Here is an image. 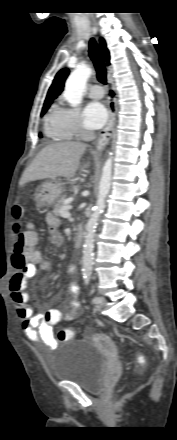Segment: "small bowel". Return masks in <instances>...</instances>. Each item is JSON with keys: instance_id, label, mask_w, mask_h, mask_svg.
Listing matches in <instances>:
<instances>
[{"instance_id": "obj_1", "label": "small bowel", "mask_w": 177, "mask_h": 440, "mask_svg": "<svg viewBox=\"0 0 177 440\" xmlns=\"http://www.w3.org/2000/svg\"><path fill=\"white\" fill-rule=\"evenodd\" d=\"M46 222L51 243L55 246L62 245L64 239L58 231L59 219L52 213H48ZM49 267V263L42 259L40 253L36 252L27 267L14 271L8 280V289L11 292V297L15 303L16 312L21 320L22 329L26 337L35 344H42L48 349H52L57 345L54 326L63 320L70 321L74 319L81 312V306L77 300H73L71 302V310L65 314L49 306H45L42 311L34 313L33 308L28 304V295L26 293L27 280L33 278L37 274L38 269L47 271ZM68 272L70 275H74L76 273L75 265H70ZM69 290L73 295H76L79 288L74 282H71Z\"/></svg>"}]
</instances>
